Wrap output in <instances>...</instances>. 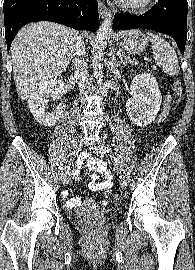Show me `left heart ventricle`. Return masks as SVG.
<instances>
[{
    "label": "left heart ventricle",
    "mask_w": 195,
    "mask_h": 270,
    "mask_svg": "<svg viewBox=\"0 0 195 270\" xmlns=\"http://www.w3.org/2000/svg\"><path fill=\"white\" fill-rule=\"evenodd\" d=\"M129 1H134V2H136V1H141V0H129Z\"/></svg>",
    "instance_id": "b2bd125f"
}]
</instances>
